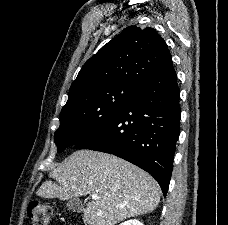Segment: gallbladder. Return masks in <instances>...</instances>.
<instances>
[{
    "label": "gallbladder",
    "instance_id": "obj_1",
    "mask_svg": "<svg viewBox=\"0 0 228 225\" xmlns=\"http://www.w3.org/2000/svg\"><path fill=\"white\" fill-rule=\"evenodd\" d=\"M68 211H72V213H82L84 211V205L80 199L74 197V199H68L65 203Z\"/></svg>",
    "mask_w": 228,
    "mask_h": 225
}]
</instances>
